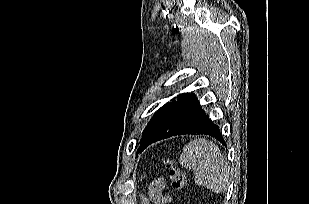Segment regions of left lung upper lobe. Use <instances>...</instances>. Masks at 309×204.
I'll return each mask as SVG.
<instances>
[{"mask_svg": "<svg viewBox=\"0 0 309 204\" xmlns=\"http://www.w3.org/2000/svg\"><path fill=\"white\" fill-rule=\"evenodd\" d=\"M189 95L188 93L187 94H184V95H181L182 98H184L185 96ZM181 98V99H182ZM175 103V102H174ZM173 102L171 103H166L163 107H161L157 113L154 115V117L150 120V122L148 123L147 127L145 128L144 132H143V135H142V139H141V142H140V146H141V143H142V140L144 139L145 135L147 134V132L149 131V129L151 128V126L154 124V122L158 119V117L164 112L166 111L172 104H174ZM139 151H140V148H139Z\"/></svg>", "mask_w": 309, "mask_h": 204, "instance_id": "left-lung-upper-lobe-1", "label": "left lung upper lobe"}]
</instances>
